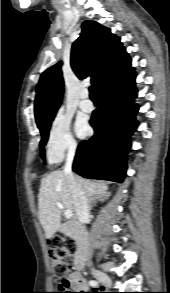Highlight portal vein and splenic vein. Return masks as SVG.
Segmentation results:
<instances>
[{
	"label": "portal vein and splenic vein",
	"instance_id": "obj_1",
	"mask_svg": "<svg viewBox=\"0 0 170 293\" xmlns=\"http://www.w3.org/2000/svg\"><path fill=\"white\" fill-rule=\"evenodd\" d=\"M56 205L59 209H64V206L61 203L57 202ZM64 216L69 219L73 216V213L70 210H65Z\"/></svg>",
	"mask_w": 170,
	"mask_h": 293
}]
</instances>
